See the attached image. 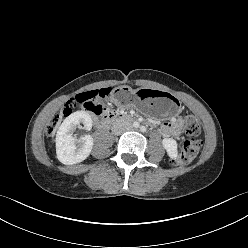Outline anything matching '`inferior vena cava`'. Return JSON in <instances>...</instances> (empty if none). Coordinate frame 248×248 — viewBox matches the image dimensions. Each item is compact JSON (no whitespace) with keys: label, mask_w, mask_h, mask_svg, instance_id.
<instances>
[{"label":"inferior vena cava","mask_w":248,"mask_h":248,"mask_svg":"<svg viewBox=\"0 0 248 248\" xmlns=\"http://www.w3.org/2000/svg\"><path fill=\"white\" fill-rule=\"evenodd\" d=\"M132 128L131 125L126 123H116L112 126V132L114 134H120L126 130H130Z\"/></svg>","instance_id":"1"}]
</instances>
